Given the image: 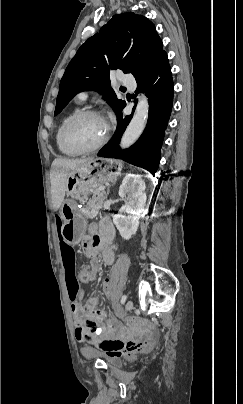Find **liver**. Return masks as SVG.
<instances>
[{
	"label": "liver",
	"instance_id": "6515ba94",
	"mask_svg": "<svg viewBox=\"0 0 243 404\" xmlns=\"http://www.w3.org/2000/svg\"><path fill=\"white\" fill-rule=\"evenodd\" d=\"M92 160L93 158H81V160H79V158H76V160H69V158H56V160L52 162L50 182L52 206L54 210H59L65 198L68 172L73 170V168H78V166L89 164Z\"/></svg>",
	"mask_w": 243,
	"mask_h": 404
}]
</instances>
